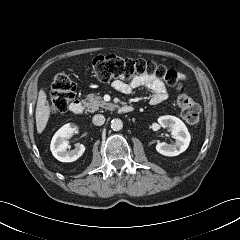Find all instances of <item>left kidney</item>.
<instances>
[{
	"instance_id": "left-kidney-1",
	"label": "left kidney",
	"mask_w": 240,
	"mask_h": 240,
	"mask_svg": "<svg viewBox=\"0 0 240 240\" xmlns=\"http://www.w3.org/2000/svg\"><path fill=\"white\" fill-rule=\"evenodd\" d=\"M158 123L161 127L170 129L175 143H158L157 152L165 156H177L188 148L191 136L186 125L179 118L171 115L161 116L158 118Z\"/></svg>"
}]
</instances>
